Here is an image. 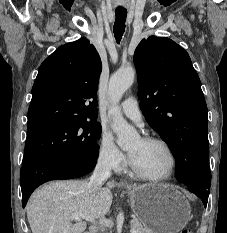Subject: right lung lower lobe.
I'll return each instance as SVG.
<instances>
[{"label": "right lung lower lobe", "mask_w": 227, "mask_h": 233, "mask_svg": "<svg viewBox=\"0 0 227 233\" xmlns=\"http://www.w3.org/2000/svg\"><path fill=\"white\" fill-rule=\"evenodd\" d=\"M98 154L88 159L67 155H54L39 158L22 166L20 183L22 205L25 207L31 193L41 184L56 179H72L91 172L97 162Z\"/></svg>", "instance_id": "1"}]
</instances>
